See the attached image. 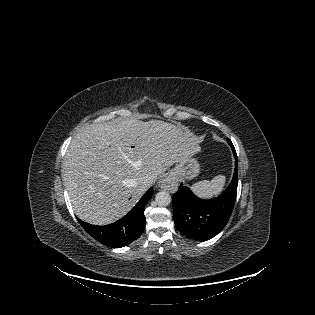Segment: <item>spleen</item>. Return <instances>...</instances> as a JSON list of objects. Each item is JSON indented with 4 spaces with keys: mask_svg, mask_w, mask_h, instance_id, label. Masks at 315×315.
<instances>
[{
    "mask_svg": "<svg viewBox=\"0 0 315 315\" xmlns=\"http://www.w3.org/2000/svg\"><path fill=\"white\" fill-rule=\"evenodd\" d=\"M226 177L224 175H218L211 181L203 180L199 181L191 186L192 191L200 198H212L219 195L224 188Z\"/></svg>",
    "mask_w": 315,
    "mask_h": 315,
    "instance_id": "3e777b00",
    "label": "spleen"
}]
</instances>
